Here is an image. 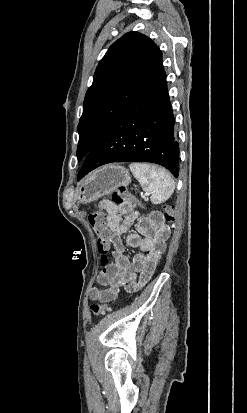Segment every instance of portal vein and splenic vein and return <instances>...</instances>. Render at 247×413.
Here are the masks:
<instances>
[{"label":"portal vein and splenic vein","instance_id":"1","mask_svg":"<svg viewBox=\"0 0 247 413\" xmlns=\"http://www.w3.org/2000/svg\"><path fill=\"white\" fill-rule=\"evenodd\" d=\"M140 196L142 197V199H145V197L148 196V193L143 191L140 193Z\"/></svg>","mask_w":247,"mask_h":413}]
</instances>
